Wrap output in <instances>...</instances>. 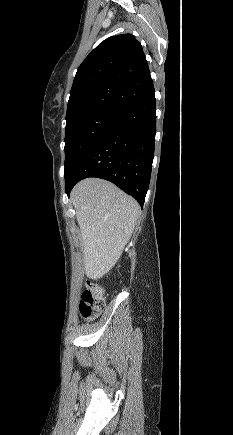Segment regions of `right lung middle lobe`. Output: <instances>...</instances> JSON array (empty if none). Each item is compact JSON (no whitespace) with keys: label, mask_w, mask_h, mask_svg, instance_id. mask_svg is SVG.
<instances>
[{"label":"right lung middle lobe","mask_w":233,"mask_h":435,"mask_svg":"<svg viewBox=\"0 0 233 435\" xmlns=\"http://www.w3.org/2000/svg\"><path fill=\"white\" fill-rule=\"evenodd\" d=\"M121 113L115 109L99 108L66 119L65 177Z\"/></svg>","instance_id":"obj_1"}]
</instances>
